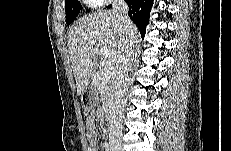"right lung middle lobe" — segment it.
<instances>
[{
  "mask_svg": "<svg viewBox=\"0 0 231 151\" xmlns=\"http://www.w3.org/2000/svg\"><path fill=\"white\" fill-rule=\"evenodd\" d=\"M66 8V23L71 24L79 15L82 6L78 0H67L65 2Z\"/></svg>",
  "mask_w": 231,
  "mask_h": 151,
  "instance_id": "right-lung-middle-lobe-1",
  "label": "right lung middle lobe"
}]
</instances>
